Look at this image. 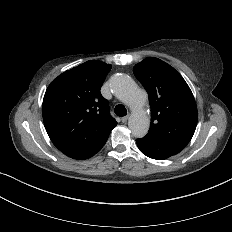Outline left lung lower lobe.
I'll return each mask as SVG.
<instances>
[{
    "mask_svg": "<svg viewBox=\"0 0 232 232\" xmlns=\"http://www.w3.org/2000/svg\"><path fill=\"white\" fill-rule=\"evenodd\" d=\"M140 151L153 159L163 160L175 154H178L181 149L157 139L145 136L136 140Z\"/></svg>",
    "mask_w": 232,
    "mask_h": 232,
    "instance_id": "obj_1",
    "label": "left lung lower lobe"
}]
</instances>
